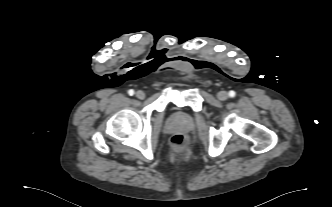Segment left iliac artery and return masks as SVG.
<instances>
[{"instance_id":"left-iliac-artery-1","label":"left iliac artery","mask_w":332,"mask_h":207,"mask_svg":"<svg viewBox=\"0 0 332 207\" xmlns=\"http://www.w3.org/2000/svg\"><path fill=\"white\" fill-rule=\"evenodd\" d=\"M235 95H236L235 91L231 90V91L229 92V96H230V97H235Z\"/></svg>"}]
</instances>
